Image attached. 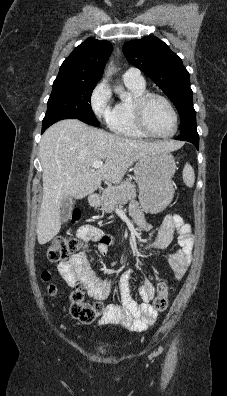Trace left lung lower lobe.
I'll return each instance as SVG.
<instances>
[{
	"mask_svg": "<svg viewBox=\"0 0 227 396\" xmlns=\"http://www.w3.org/2000/svg\"><path fill=\"white\" fill-rule=\"evenodd\" d=\"M176 139L191 142L196 146L197 150L199 149V135L197 133L196 124L190 125L180 131V135Z\"/></svg>",
	"mask_w": 227,
	"mask_h": 396,
	"instance_id": "obj_1",
	"label": "left lung lower lobe"
}]
</instances>
